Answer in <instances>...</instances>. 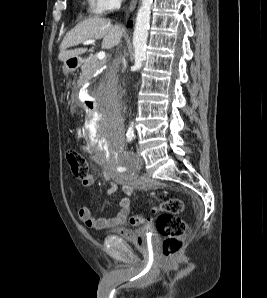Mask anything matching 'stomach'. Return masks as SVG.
<instances>
[{
	"label": "stomach",
	"instance_id": "stomach-1",
	"mask_svg": "<svg viewBox=\"0 0 267 298\" xmlns=\"http://www.w3.org/2000/svg\"><path fill=\"white\" fill-rule=\"evenodd\" d=\"M70 61V65L67 63ZM81 59L80 58H71L64 62L63 71L65 74L73 72L75 69H77L81 65Z\"/></svg>",
	"mask_w": 267,
	"mask_h": 298
}]
</instances>
